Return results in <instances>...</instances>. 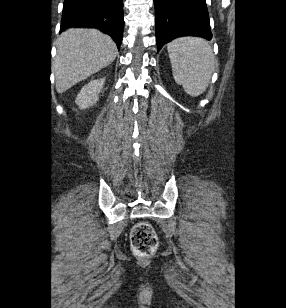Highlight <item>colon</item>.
Returning <instances> with one entry per match:
<instances>
[{
    "label": "colon",
    "instance_id": "1",
    "mask_svg": "<svg viewBox=\"0 0 286 308\" xmlns=\"http://www.w3.org/2000/svg\"><path fill=\"white\" fill-rule=\"evenodd\" d=\"M130 243L135 254L147 257L156 251L158 237L150 223L139 222L131 230Z\"/></svg>",
    "mask_w": 286,
    "mask_h": 308
}]
</instances>
